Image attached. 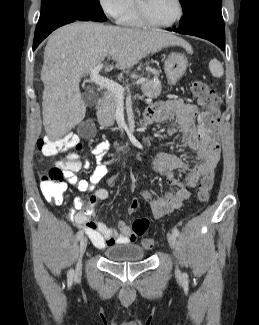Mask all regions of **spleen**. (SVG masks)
Segmentation results:
<instances>
[{"label":"spleen","mask_w":259,"mask_h":325,"mask_svg":"<svg viewBox=\"0 0 259 325\" xmlns=\"http://www.w3.org/2000/svg\"><path fill=\"white\" fill-rule=\"evenodd\" d=\"M209 69L211 74L216 78H220L224 75L223 66L217 59H212L209 62Z\"/></svg>","instance_id":"obj_1"}]
</instances>
